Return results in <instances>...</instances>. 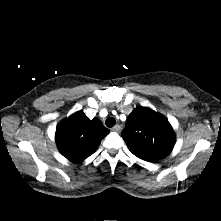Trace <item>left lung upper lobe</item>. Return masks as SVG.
<instances>
[{
  "label": "left lung upper lobe",
  "instance_id": "obj_1",
  "mask_svg": "<svg viewBox=\"0 0 221 221\" xmlns=\"http://www.w3.org/2000/svg\"><path fill=\"white\" fill-rule=\"evenodd\" d=\"M122 137L135 156L148 162L168 156L175 144L169 121L145 107L136 108L128 116Z\"/></svg>",
  "mask_w": 221,
  "mask_h": 221
}]
</instances>
